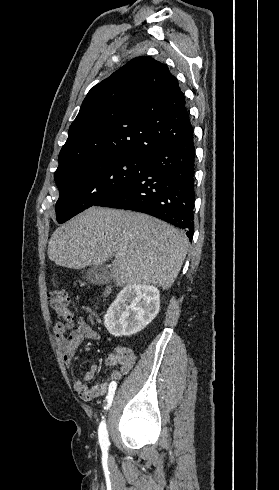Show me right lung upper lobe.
Here are the masks:
<instances>
[{"instance_id":"right-lung-upper-lobe-1","label":"right lung upper lobe","mask_w":279,"mask_h":490,"mask_svg":"<svg viewBox=\"0 0 279 490\" xmlns=\"http://www.w3.org/2000/svg\"><path fill=\"white\" fill-rule=\"evenodd\" d=\"M192 135L176 77L167 65L137 57L88 92L69 128L55 176L96 158L150 159Z\"/></svg>"}]
</instances>
